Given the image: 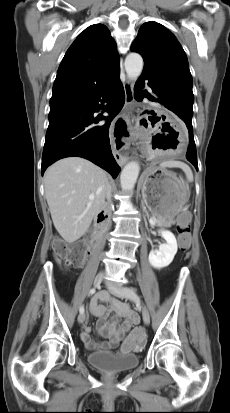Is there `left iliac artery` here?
<instances>
[{"instance_id": "1", "label": "left iliac artery", "mask_w": 230, "mask_h": 413, "mask_svg": "<svg viewBox=\"0 0 230 413\" xmlns=\"http://www.w3.org/2000/svg\"><path fill=\"white\" fill-rule=\"evenodd\" d=\"M128 291H130V292H132V293H134L135 292V289L134 288H131V289H127Z\"/></svg>"}]
</instances>
